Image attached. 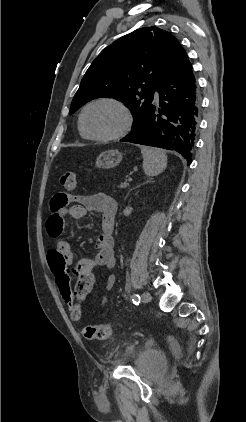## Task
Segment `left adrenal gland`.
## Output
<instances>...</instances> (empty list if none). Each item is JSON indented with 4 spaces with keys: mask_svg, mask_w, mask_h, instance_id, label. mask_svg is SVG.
<instances>
[{
    "mask_svg": "<svg viewBox=\"0 0 246 422\" xmlns=\"http://www.w3.org/2000/svg\"><path fill=\"white\" fill-rule=\"evenodd\" d=\"M151 182V180H146L145 182H143L142 184H140V185H138L137 186V188H139L140 186H142V185H144V184H147V183H150ZM129 195V192H128V194L126 195V197H125V199L127 198V196Z\"/></svg>",
    "mask_w": 246,
    "mask_h": 422,
    "instance_id": "obj_1",
    "label": "left adrenal gland"
}]
</instances>
